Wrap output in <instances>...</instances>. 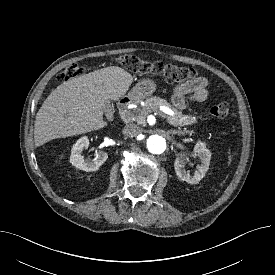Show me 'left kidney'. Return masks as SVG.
<instances>
[{
    "label": "left kidney",
    "mask_w": 275,
    "mask_h": 275,
    "mask_svg": "<svg viewBox=\"0 0 275 275\" xmlns=\"http://www.w3.org/2000/svg\"><path fill=\"white\" fill-rule=\"evenodd\" d=\"M192 156L198 157L200 160V165L197 166V170L194 172V175H190V172L185 169L187 156L182 153L175 159V172L180 180L186 181L190 184H198L209 169L211 152L206 148L205 143L198 141L194 147Z\"/></svg>",
    "instance_id": "left-kidney-1"
}]
</instances>
